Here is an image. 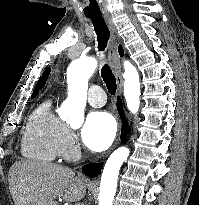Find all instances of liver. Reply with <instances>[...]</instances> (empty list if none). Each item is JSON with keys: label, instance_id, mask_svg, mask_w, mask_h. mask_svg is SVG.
I'll return each instance as SVG.
<instances>
[{"label": "liver", "instance_id": "obj_1", "mask_svg": "<svg viewBox=\"0 0 199 205\" xmlns=\"http://www.w3.org/2000/svg\"><path fill=\"white\" fill-rule=\"evenodd\" d=\"M8 182L16 205H57V197L77 202L86 194L82 177L75 176L70 168L47 162H15Z\"/></svg>", "mask_w": 199, "mask_h": 205}]
</instances>
